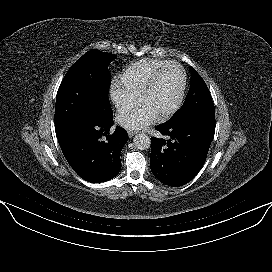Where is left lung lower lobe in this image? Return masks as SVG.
Masks as SVG:
<instances>
[{"instance_id": "0a47b994", "label": "left lung lower lobe", "mask_w": 272, "mask_h": 272, "mask_svg": "<svg viewBox=\"0 0 272 272\" xmlns=\"http://www.w3.org/2000/svg\"><path fill=\"white\" fill-rule=\"evenodd\" d=\"M168 140L151 138L150 167L163 184L179 187L203 167L215 133V117L191 118L156 127Z\"/></svg>"}]
</instances>
